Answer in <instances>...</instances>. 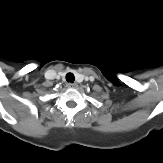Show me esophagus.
<instances>
[{"label":"esophagus","instance_id":"1","mask_svg":"<svg viewBox=\"0 0 163 163\" xmlns=\"http://www.w3.org/2000/svg\"><path fill=\"white\" fill-rule=\"evenodd\" d=\"M67 87H68V88H77L78 85H77V83H68V84H67Z\"/></svg>","mask_w":163,"mask_h":163}]
</instances>
